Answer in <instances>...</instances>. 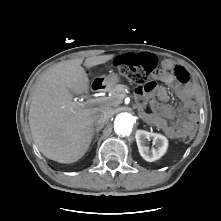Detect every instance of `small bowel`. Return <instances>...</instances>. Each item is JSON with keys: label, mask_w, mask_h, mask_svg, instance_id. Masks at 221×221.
<instances>
[{"label": "small bowel", "mask_w": 221, "mask_h": 221, "mask_svg": "<svg viewBox=\"0 0 221 221\" xmlns=\"http://www.w3.org/2000/svg\"><path fill=\"white\" fill-rule=\"evenodd\" d=\"M140 54L142 53H125L117 60L126 58L128 61H133ZM161 65L162 71L159 73V78L166 83H175L180 98L179 105L174 108L166 104L168 94L163 86H156L150 91L139 88L137 98L141 103L149 101L151 113L147 115L154 125L161 128L170 138H180L195 122L190 98L189 75L185 67L172 60L165 59Z\"/></svg>", "instance_id": "small-bowel-1"}]
</instances>
